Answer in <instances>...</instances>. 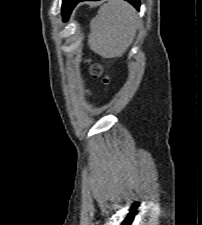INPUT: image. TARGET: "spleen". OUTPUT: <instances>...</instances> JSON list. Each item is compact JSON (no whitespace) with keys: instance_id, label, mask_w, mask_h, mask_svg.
<instances>
[{"instance_id":"3e777b00","label":"spleen","mask_w":202,"mask_h":225,"mask_svg":"<svg viewBox=\"0 0 202 225\" xmlns=\"http://www.w3.org/2000/svg\"><path fill=\"white\" fill-rule=\"evenodd\" d=\"M137 24L136 11L130 4L108 0L91 22L88 44L102 57H121L134 40Z\"/></svg>"}]
</instances>
